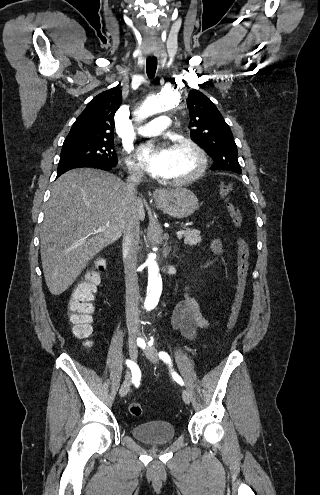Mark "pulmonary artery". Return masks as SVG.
<instances>
[{
  "instance_id": "1",
  "label": "pulmonary artery",
  "mask_w": 320,
  "mask_h": 495,
  "mask_svg": "<svg viewBox=\"0 0 320 495\" xmlns=\"http://www.w3.org/2000/svg\"><path fill=\"white\" fill-rule=\"evenodd\" d=\"M171 123V119L168 116L162 115L154 120L146 123L138 129V133L142 136L157 135L166 130Z\"/></svg>"
}]
</instances>
